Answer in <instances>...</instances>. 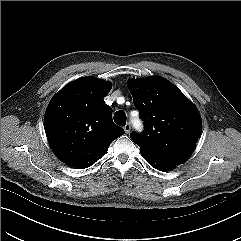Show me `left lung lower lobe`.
I'll use <instances>...</instances> for the list:
<instances>
[{"mask_svg":"<svg viewBox=\"0 0 241 241\" xmlns=\"http://www.w3.org/2000/svg\"><path fill=\"white\" fill-rule=\"evenodd\" d=\"M141 155L152 167H154L157 170L167 171V170L174 169L176 167V165L172 163L161 161L147 154L141 153Z\"/></svg>","mask_w":241,"mask_h":241,"instance_id":"1","label":"left lung lower lobe"}]
</instances>
